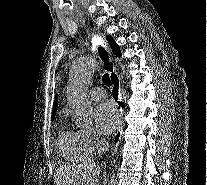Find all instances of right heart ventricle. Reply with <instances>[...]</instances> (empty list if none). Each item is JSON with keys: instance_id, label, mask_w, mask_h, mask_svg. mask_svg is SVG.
<instances>
[{"instance_id": "obj_1", "label": "right heart ventricle", "mask_w": 207, "mask_h": 185, "mask_svg": "<svg viewBox=\"0 0 207 185\" xmlns=\"http://www.w3.org/2000/svg\"><path fill=\"white\" fill-rule=\"evenodd\" d=\"M97 149L81 131H63L60 135V150L69 161H90L95 157Z\"/></svg>"}]
</instances>
